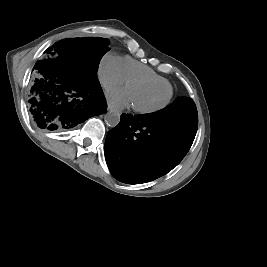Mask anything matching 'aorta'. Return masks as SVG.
I'll return each instance as SVG.
<instances>
[{
  "mask_svg": "<svg viewBox=\"0 0 267 267\" xmlns=\"http://www.w3.org/2000/svg\"><path fill=\"white\" fill-rule=\"evenodd\" d=\"M104 120L109 127H116L120 122V114L115 111H109L105 115Z\"/></svg>",
  "mask_w": 267,
  "mask_h": 267,
  "instance_id": "aorta-1",
  "label": "aorta"
}]
</instances>
